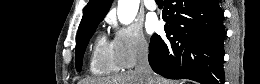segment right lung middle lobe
Returning <instances> with one entry per match:
<instances>
[{
	"instance_id": "obj_1",
	"label": "right lung middle lobe",
	"mask_w": 260,
	"mask_h": 84,
	"mask_svg": "<svg viewBox=\"0 0 260 84\" xmlns=\"http://www.w3.org/2000/svg\"><path fill=\"white\" fill-rule=\"evenodd\" d=\"M101 21L95 22L84 30L80 35L77 36L76 50H75V66L77 71H81L83 55L88 44V41L92 37L95 29Z\"/></svg>"
}]
</instances>
